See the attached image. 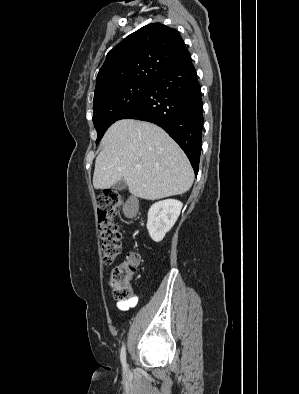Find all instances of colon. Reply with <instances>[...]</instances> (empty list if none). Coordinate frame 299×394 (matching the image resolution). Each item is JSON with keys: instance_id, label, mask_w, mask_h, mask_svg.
<instances>
[{"instance_id": "colon-1", "label": "colon", "mask_w": 299, "mask_h": 394, "mask_svg": "<svg viewBox=\"0 0 299 394\" xmlns=\"http://www.w3.org/2000/svg\"><path fill=\"white\" fill-rule=\"evenodd\" d=\"M123 201V196L113 190L103 192L96 199L101 253L106 264L113 263L121 252V234L113 218ZM139 262L138 254L130 252L112 271L109 284L115 299L128 301L133 297L131 281Z\"/></svg>"}]
</instances>
